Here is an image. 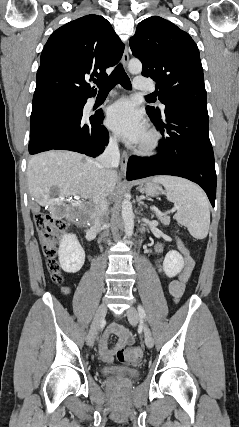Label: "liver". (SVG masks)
Here are the masks:
<instances>
[{
  "label": "liver",
  "mask_w": 239,
  "mask_h": 427,
  "mask_svg": "<svg viewBox=\"0 0 239 427\" xmlns=\"http://www.w3.org/2000/svg\"><path fill=\"white\" fill-rule=\"evenodd\" d=\"M28 190L40 206L48 207L53 218L69 213L66 198L79 196L90 201L83 206L90 219L98 215V204L116 188L117 173L104 174L97 160L76 152L48 151L32 156L27 167ZM56 188L55 193H51Z\"/></svg>",
  "instance_id": "liver-1"
}]
</instances>
